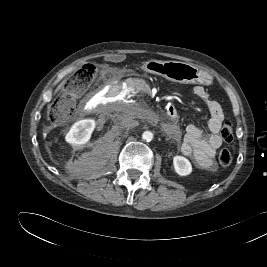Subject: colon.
Instances as JSON below:
<instances>
[{"mask_svg": "<svg viewBox=\"0 0 267 267\" xmlns=\"http://www.w3.org/2000/svg\"><path fill=\"white\" fill-rule=\"evenodd\" d=\"M96 77V68L91 64L83 65L66 83L63 91L53 103L48 120L57 124L68 118L73 112L77 98L92 84ZM221 137L226 143H231L234 138L231 122L224 123L221 129ZM232 154L224 148L219 153V163L226 167L232 163Z\"/></svg>", "mask_w": 267, "mask_h": 267, "instance_id": "colon-1", "label": "colon"}]
</instances>
